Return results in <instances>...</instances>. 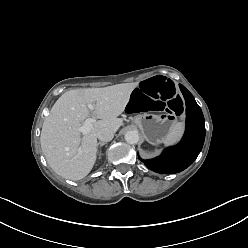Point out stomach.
I'll return each instance as SVG.
<instances>
[{
  "label": "stomach",
  "mask_w": 248,
  "mask_h": 248,
  "mask_svg": "<svg viewBox=\"0 0 248 248\" xmlns=\"http://www.w3.org/2000/svg\"><path fill=\"white\" fill-rule=\"evenodd\" d=\"M134 123L139 127L148 143L157 145L162 143L171 129L177 126L178 119L173 112L159 115L145 112L135 116Z\"/></svg>",
  "instance_id": "1"
}]
</instances>
